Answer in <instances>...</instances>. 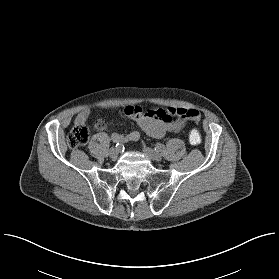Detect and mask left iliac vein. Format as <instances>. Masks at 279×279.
<instances>
[{
  "label": "left iliac vein",
  "mask_w": 279,
  "mask_h": 279,
  "mask_svg": "<svg viewBox=\"0 0 279 279\" xmlns=\"http://www.w3.org/2000/svg\"><path fill=\"white\" fill-rule=\"evenodd\" d=\"M143 152L153 161H160L162 159V155L159 152H156L149 147H144Z\"/></svg>",
  "instance_id": "left-iliac-vein-1"
}]
</instances>
